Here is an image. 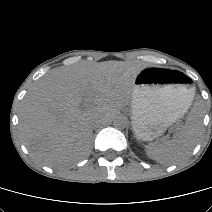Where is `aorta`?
Wrapping results in <instances>:
<instances>
[{"label":"aorta","mask_w":212,"mask_h":212,"mask_svg":"<svg viewBox=\"0 0 212 212\" xmlns=\"http://www.w3.org/2000/svg\"><path fill=\"white\" fill-rule=\"evenodd\" d=\"M113 125L118 129H124L128 125V120L125 116L118 115L115 117Z\"/></svg>","instance_id":"1"}]
</instances>
